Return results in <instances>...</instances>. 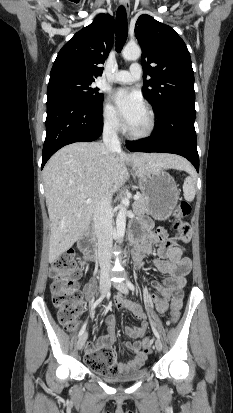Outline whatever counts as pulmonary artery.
Segmentation results:
<instances>
[{
  "label": "pulmonary artery",
  "instance_id": "obj_1",
  "mask_svg": "<svg viewBox=\"0 0 233 413\" xmlns=\"http://www.w3.org/2000/svg\"><path fill=\"white\" fill-rule=\"evenodd\" d=\"M142 75V68L138 63L130 66L129 70H120L114 72L111 80L120 84H130L140 79Z\"/></svg>",
  "mask_w": 233,
  "mask_h": 413
}]
</instances>
